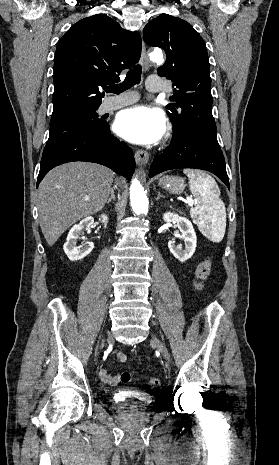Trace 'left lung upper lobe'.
Here are the masks:
<instances>
[{
  "label": "left lung upper lobe",
  "mask_w": 279,
  "mask_h": 465,
  "mask_svg": "<svg viewBox=\"0 0 279 465\" xmlns=\"http://www.w3.org/2000/svg\"><path fill=\"white\" fill-rule=\"evenodd\" d=\"M147 44L162 48L166 62L158 75L172 79L175 87L167 114L173 123V138L198 136L218 145L212 116L211 78L206 45L186 21L168 14L151 20L143 29Z\"/></svg>",
  "instance_id": "left-lung-upper-lobe-1"
}]
</instances>
